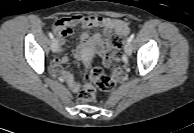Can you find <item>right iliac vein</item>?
<instances>
[{
	"label": "right iliac vein",
	"instance_id": "63e3f726",
	"mask_svg": "<svg viewBox=\"0 0 194 133\" xmlns=\"http://www.w3.org/2000/svg\"><path fill=\"white\" fill-rule=\"evenodd\" d=\"M51 50L56 53L58 50V42L56 39H53L51 42Z\"/></svg>",
	"mask_w": 194,
	"mask_h": 133
}]
</instances>
